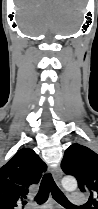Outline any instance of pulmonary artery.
I'll return each mask as SVG.
<instances>
[{"mask_svg":"<svg viewBox=\"0 0 98 209\" xmlns=\"http://www.w3.org/2000/svg\"><path fill=\"white\" fill-rule=\"evenodd\" d=\"M86 202V198L80 194L79 192H73L71 195H70V203L74 206H77V205H82ZM29 209H37L35 207H30ZM41 209H51L50 206H43L41 207Z\"/></svg>","mask_w":98,"mask_h":209,"instance_id":"obj_1","label":"pulmonary artery"}]
</instances>
